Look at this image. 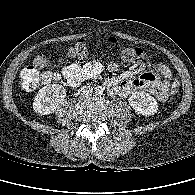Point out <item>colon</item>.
<instances>
[{"label":"colon","instance_id":"1","mask_svg":"<svg viewBox=\"0 0 195 195\" xmlns=\"http://www.w3.org/2000/svg\"><path fill=\"white\" fill-rule=\"evenodd\" d=\"M108 43L111 46L118 44L117 39L110 37ZM92 47L89 46L85 41L79 40L70 49L69 54L76 58H86L90 55ZM145 51L140 48H123L119 51L120 58L124 62H135L143 57ZM50 58L46 54H40L34 58L33 63L24 67L20 72V79L22 87L31 91L41 86L42 84L48 83L53 79H58V74H52L49 72L41 73L39 69L48 67ZM180 84L177 80H173L171 83L170 93L172 96H176L179 93Z\"/></svg>","mask_w":195,"mask_h":195}]
</instances>
